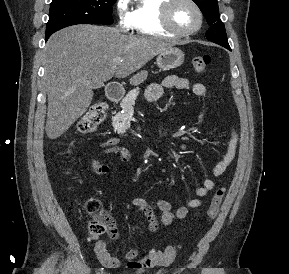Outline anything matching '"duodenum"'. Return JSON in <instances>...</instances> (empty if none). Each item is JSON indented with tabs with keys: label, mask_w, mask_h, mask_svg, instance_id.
I'll use <instances>...</instances> for the list:
<instances>
[{
	"label": "duodenum",
	"mask_w": 289,
	"mask_h": 274,
	"mask_svg": "<svg viewBox=\"0 0 289 274\" xmlns=\"http://www.w3.org/2000/svg\"><path fill=\"white\" fill-rule=\"evenodd\" d=\"M106 96L109 101L116 102L122 96V89L116 83H110L106 88Z\"/></svg>",
	"instance_id": "410a0bca"
}]
</instances>
